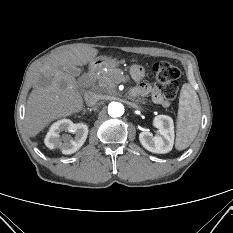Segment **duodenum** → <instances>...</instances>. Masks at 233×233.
Instances as JSON below:
<instances>
[{
	"label": "duodenum",
	"mask_w": 233,
	"mask_h": 233,
	"mask_svg": "<svg viewBox=\"0 0 233 233\" xmlns=\"http://www.w3.org/2000/svg\"><path fill=\"white\" fill-rule=\"evenodd\" d=\"M103 62H104L103 60H97L90 66L89 71H88L87 76H86V88H89L91 86V84L93 83L96 72H97L99 66Z\"/></svg>",
	"instance_id": "410a0bca"
}]
</instances>
